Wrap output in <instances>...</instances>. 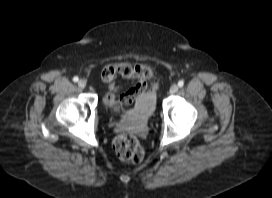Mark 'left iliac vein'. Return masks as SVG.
I'll use <instances>...</instances> for the list:
<instances>
[{
    "instance_id": "1",
    "label": "left iliac vein",
    "mask_w": 272,
    "mask_h": 198,
    "mask_svg": "<svg viewBox=\"0 0 272 198\" xmlns=\"http://www.w3.org/2000/svg\"><path fill=\"white\" fill-rule=\"evenodd\" d=\"M179 87L177 84H173L170 89H169V92L170 94H175L177 91H178Z\"/></svg>"
}]
</instances>
